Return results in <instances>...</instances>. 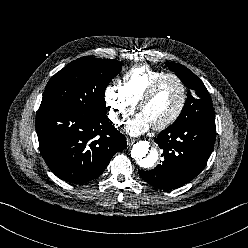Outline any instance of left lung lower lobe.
<instances>
[{"mask_svg":"<svg viewBox=\"0 0 248 248\" xmlns=\"http://www.w3.org/2000/svg\"><path fill=\"white\" fill-rule=\"evenodd\" d=\"M215 137V119L169 126L155 138L164 161L150 171L139 170L141 178L164 191L183 186L205 167Z\"/></svg>","mask_w":248,"mask_h":248,"instance_id":"left-lung-lower-lobe-1","label":"left lung lower lobe"}]
</instances>
